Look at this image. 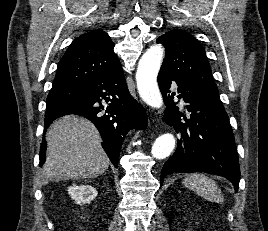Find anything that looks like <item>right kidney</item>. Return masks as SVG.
Wrapping results in <instances>:
<instances>
[{
  "label": "right kidney",
  "mask_w": 268,
  "mask_h": 231,
  "mask_svg": "<svg viewBox=\"0 0 268 231\" xmlns=\"http://www.w3.org/2000/svg\"><path fill=\"white\" fill-rule=\"evenodd\" d=\"M68 194L77 204L90 203L97 196V190L90 185H73L68 188Z\"/></svg>",
  "instance_id": "1"
}]
</instances>
